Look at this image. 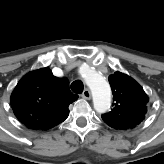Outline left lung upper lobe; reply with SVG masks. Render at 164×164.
I'll return each instance as SVG.
<instances>
[{
	"label": "left lung upper lobe",
	"mask_w": 164,
	"mask_h": 164,
	"mask_svg": "<svg viewBox=\"0 0 164 164\" xmlns=\"http://www.w3.org/2000/svg\"><path fill=\"white\" fill-rule=\"evenodd\" d=\"M109 82L115 107L102 115V119L116 128L132 127L142 121L146 101L143 89L130 77L118 72L109 77Z\"/></svg>",
	"instance_id": "left-lung-upper-lobe-1"
}]
</instances>
